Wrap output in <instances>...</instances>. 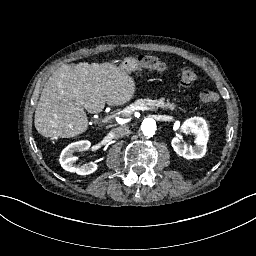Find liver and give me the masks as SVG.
Here are the masks:
<instances>
[{"label": "liver", "mask_w": 256, "mask_h": 256, "mask_svg": "<svg viewBox=\"0 0 256 256\" xmlns=\"http://www.w3.org/2000/svg\"><path fill=\"white\" fill-rule=\"evenodd\" d=\"M136 82L114 62L86 61L60 66L47 80L35 110L34 125L46 138H75L88 129L86 112L127 105Z\"/></svg>", "instance_id": "1"}]
</instances>
